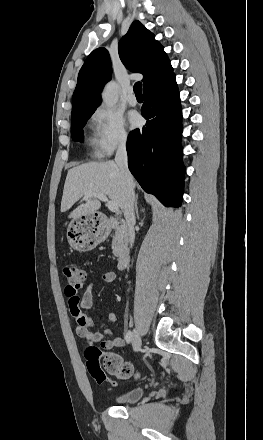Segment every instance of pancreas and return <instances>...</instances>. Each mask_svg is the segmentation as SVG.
I'll return each instance as SVG.
<instances>
[{
  "mask_svg": "<svg viewBox=\"0 0 263 440\" xmlns=\"http://www.w3.org/2000/svg\"><path fill=\"white\" fill-rule=\"evenodd\" d=\"M123 243H124V235L119 228H116L112 240V249H113V254L115 256L120 255L121 247L123 246Z\"/></svg>",
  "mask_w": 263,
  "mask_h": 440,
  "instance_id": "1",
  "label": "pancreas"
}]
</instances>
